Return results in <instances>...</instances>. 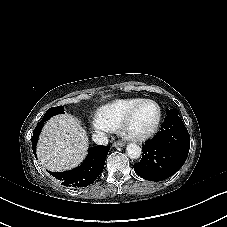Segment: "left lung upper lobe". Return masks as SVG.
I'll use <instances>...</instances> for the list:
<instances>
[{"label":"left lung upper lobe","mask_w":227,"mask_h":227,"mask_svg":"<svg viewBox=\"0 0 227 227\" xmlns=\"http://www.w3.org/2000/svg\"><path fill=\"white\" fill-rule=\"evenodd\" d=\"M167 115H176L178 114V112L176 110H168L167 109V112H166Z\"/></svg>","instance_id":"1"}]
</instances>
